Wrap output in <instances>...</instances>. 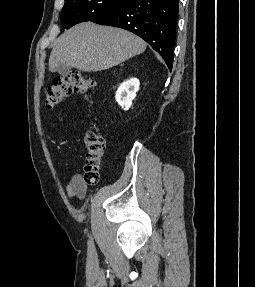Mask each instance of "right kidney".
Masks as SVG:
<instances>
[{
  "instance_id": "1",
  "label": "right kidney",
  "mask_w": 255,
  "mask_h": 287,
  "mask_svg": "<svg viewBox=\"0 0 255 287\" xmlns=\"http://www.w3.org/2000/svg\"><path fill=\"white\" fill-rule=\"evenodd\" d=\"M139 86L140 82L137 78H130V80H126V82L120 84L115 98L123 110H129L130 106H132V100H135Z\"/></svg>"
}]
</instances>
